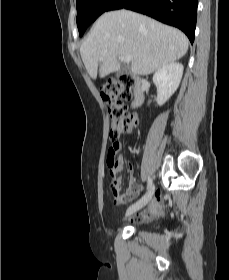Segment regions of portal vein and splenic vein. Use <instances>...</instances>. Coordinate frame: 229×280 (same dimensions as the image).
<instances>
[{
  "label": "portal vein and splenic vein",
  "instance_id": "18ae733b",
  "mask_svg": "<svg viewBox=\"0 0 229 280\" xmlns=\"http://www.w3.org/2000/svg\"><path fill=\"white\" fill-rule=\"evenodd\" d=\"M119 60L123 61L125 63H130L132 60V57L131 56H119Z\"/></svg>",
  "mask_w": 229,
  "mask_h": 280
}]
</instances>
